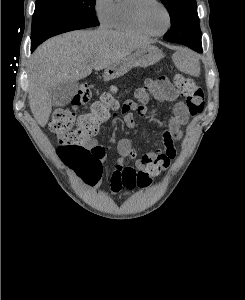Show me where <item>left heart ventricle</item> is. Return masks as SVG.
<instances>
[{
    "label": "left heart ventricle",
    "mask_w": 245,
    "mask_h": 300,
    "mask_svg": "<svg viewBox=\"0 0 245 300\" xmlns=\"http://www.w3.org/2000/svg\"><path fill=\"white\" fill-rule=\"evenodd\" d=\"M144 21L152 31L162 30L167 23L166 15L162 8L154 3H149L144 10Z\"/></svg>",
    "instance_id": "1"
}]
</instances>
